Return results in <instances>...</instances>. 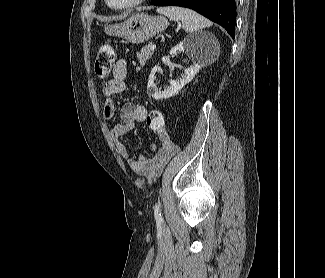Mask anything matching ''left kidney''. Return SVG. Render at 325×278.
Segmentation results:
<instances>
[{
  "instance_id": "obj_1",
  "label": "left kidney",
  "mask_w": 325,
  "mask_h": 278,
  "mask_svg": "<svg viewBox=\"0 0 325 278\" xmlns=\"http://www.w3.org/2000/svg\"><path fill=\"white\" fill-rule=\"evenodd\" d=\"M186 53L193 61V65L184 70V74L179 80H170V86L167 89H158L155 84L157 66L150 73L147 91L155 100H163L175 96L188 84L203 67V55L205 53V41L199 35L186 37L170 51L171 55Z\"/></svg>"
}]
</instances>
